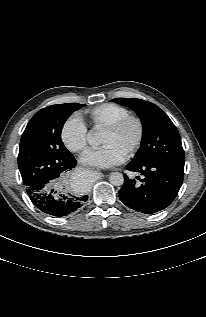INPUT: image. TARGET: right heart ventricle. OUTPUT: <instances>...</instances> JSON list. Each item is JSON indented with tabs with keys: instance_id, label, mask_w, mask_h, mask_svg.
<instances>
[{
	"instance_id": "right-heart-ventricle-1",
	"label": "right heart ventricle",
	"mask_w": 206,
	"mask_h": 317,
	"mask_svg": "<svg viewBox=\"0 0 206 317\" xmlns=\"http://www.w3.org/2000/svg\"><path fill=\"white\" fill-rule=\"evenodd\" d=\"M127 107L114 102H106L87 112L88 121L94 129L104 128L107 124L129 114Z\"/></svg>"
}]
</instances>
